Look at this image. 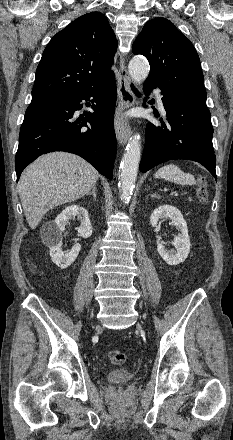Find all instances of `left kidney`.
I'll return each instance as SVG.
<instances>
[{
	"mask_svg": "<svg viewBox=\"0 0 233 440\" xmlns=\"http://www.w3.org/2000/svg\"><path fill=\"white\" fill-rule=\"evenodd\" d=\"M163 218L171 219L172 224L180 233L176 235L174 242H172V246H174L175 249H166L165 246L157 240V251L167 264L178 265L184 262L190 253L187 223L179 209L171 205H161L151 213L150 223L152 227H157L159 220Z\"/></svg>",
	"mask_w": 233,
	"mask_h": 440,
	"instance_id": "obj_1",
	"label": "left kidney"
}]
</instances>
